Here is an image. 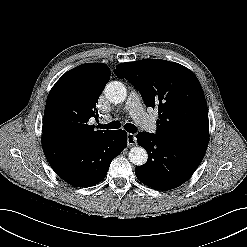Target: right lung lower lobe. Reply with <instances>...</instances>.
I'll return each mask as SVG.
<instances>
[{
	"label": "right lung lower lobe",
	"instance_id": "98d812e1",
	"mask_svg": "<svg viewBox=\"0 0 247 247\" xmlns=\"http://www.w3.org/2000/svg\"><path fill=\"white\" fill-rule=\"evenodd\" d=\"M124 130L109 131L93 143L72 147L42 138L44 154L56 174L70 185L89 187L102 181L111 161L126 147Z\"/></svg>",
	"mask_w": 247,
	"mask_h": 247
}]
</instances>
